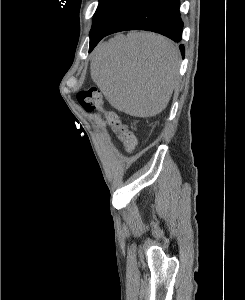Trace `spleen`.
Returning a JSON list of instances; mask_svg holds the SVG:
<instances>
[{"instance_id": "1", "label": "spleen", "mask_w": 245, "mask_h": 300, "mask_svg": "<svg viewBox=\"0 0 245 300\" xmlns=\"http://www.w3.org/2000/svg\"><path fill=\"white\" fill-rule=\"evenodd\" d=\"M179 52L166 38L151 33L118 35L95 51L91 77L109 103L136 117L167 106L178 79Z\"/></svg>"}]
</instances>
